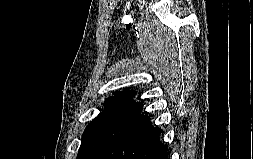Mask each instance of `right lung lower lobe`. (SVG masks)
Segmentation results:
<instances>
[{
	"label": "right lung lower lobe",
	"instance_id": "1",
	"mask_svg": "<svg viewBox=\"0 0 253 159\" xmlns=\"http://www.w3.org/2000/svg\"><path fill=\"white\" fill-rule=\"evenodd\" d=\"M160 133L147 118L92 159H168V146L160 142Z\"/></svg>",
	"mask_w": 253,
	"mask_h": 159
}]
</instances>
